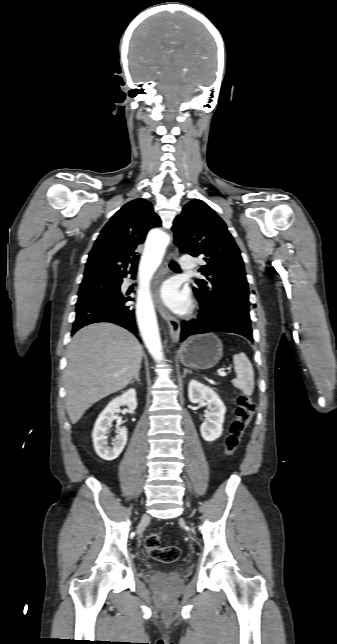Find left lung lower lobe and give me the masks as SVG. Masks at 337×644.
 Masks as SVG:
<instances>
[{
  "instance_id": "1",
  "label": "left lung lower lobe",
  "mask_w": 337,
  "mask_h": 644,
  "mask_svg": "<svg viewBox=\"0 0 337 644\" xmlns=\"http://www.w3.org/2000/svg\"><path fill=\"white\" fill-rule=\"evenodd\" d=\"M209 332L235 333L253 341L251 326L224 311L204 309L201 306L196 319L182 322L181 340L190 335Z\"/></svg>"
}]
</instances>
